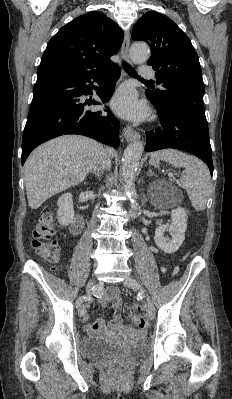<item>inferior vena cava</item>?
<instances>
[{"mask_svg":"<svg viewBox=\"0 0 232 399\" xmlns=\"http://www.w3.org/2000/svg\"><path fill=\"white\" fill-rule=\"evenodd\" d=\"M100 166H102V168H105V170H110L111 162H110L109 156H107V154H103V156L100 160Z\"/></svg>","mask_w":232,"mask_h":399,"instance_id":"1","label":"inferior vena cava"}]
</instances>
